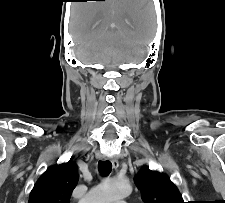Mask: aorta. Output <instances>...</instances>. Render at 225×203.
<instances>
[{"label":"aorta","instance_id":"obj_1","mask_svg":"<svg viewBox=\"0 0 225 203\" xmlns=\"http://www.w3.org/2000/svg\"><path fill=\"white\" fill-rule=\"evenodd\" d=\"M131 193V186L125 181L107 179L93 187L80 203H113Z\"/></svg>","mask_w":225,"mask_h":203}]
</instances>
